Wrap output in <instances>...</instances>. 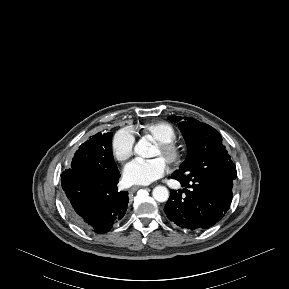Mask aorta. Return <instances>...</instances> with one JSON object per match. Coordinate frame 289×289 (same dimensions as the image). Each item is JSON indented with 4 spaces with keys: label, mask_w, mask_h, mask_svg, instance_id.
<instances>
[{
    "label": "aorta",
    "mask_w": 289,
    "mask_h": 289,
    "mask_svg": "<svg viewBox=\"0 0 289 289\" xmlns=\"http://www.w3.org/2000/svg\"><path fill=\"white\" fill-rule=\"evenodd\" d=\"M150 147V143L141 140L135 145L134 151L140 157L145 158L149 156ZM152 195L157 202H165L169 198V191L164 186H156L152 191Z\"/></svg>",
    "instance_id": "obj_1"
}]
</instances>
